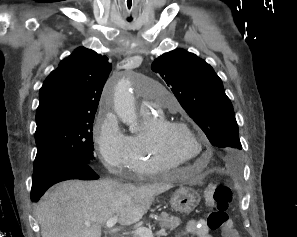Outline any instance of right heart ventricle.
<instances>
[{
  "label": "right heart ventricle",
  "instance_id": "e07e8e85",
  "mask_svg": "<svg viewBox=\"0 0 297 237\" xmlns=\"http://www.w3.org/2000/svg\"><path fill=\"white\" fill-rule=\"evenodd\" d=\"M145 128L142 132L129 137V166L137 175L150 176L173 171L181 166L176 162L161 158L154 150L149 132L154 125L163 120L159 114L142 113Z\"/></svg>",
  "mask_w": 297,
  "mask_h": 237
}]
</instances>
